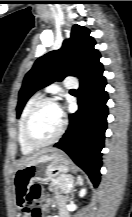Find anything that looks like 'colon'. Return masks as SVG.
<instances>
[{"mask_svg": "<svg viewBox=\"0 0 132 217\" xmlns=\"http://www.w3.org/2000/svg\"><path fill=\"white\" fill-rule=\"evenodd\" d=\"M41 197V188L39 185H33L26 192V202L31 208V217H42L41 210L38 207Z\"/></svg>", "mask_w": 132, "mask_h": 217, "instance_id": "5ec220e1", "label": "colon"}]
</instances>
